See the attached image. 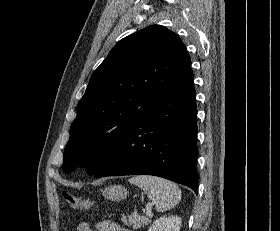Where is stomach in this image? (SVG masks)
I'll use <instances>...</instances> for the list:
<instances>
[{
  "mask_svg": "<svg viewBox=\"0 0 280 231\" xmlns=\"http://www.w3.org/2000/svg\"><path fill=\"white\" fill-rule=\"evenodd\" d=\"M103 195L106 199H111V201H121V199L127 197L128 191L123 185H108L103 189Z\"/></svg>",
  "mask_w": 280,
  "mask_h": 231,
  "instance_id": "stomach-1",
  "label": "stomach"
}]
</instances>
